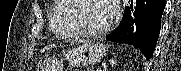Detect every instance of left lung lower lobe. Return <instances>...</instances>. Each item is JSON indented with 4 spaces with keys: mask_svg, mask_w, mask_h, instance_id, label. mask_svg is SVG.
Here are the masks:
<instances>
[{
    "mask_svg": "<svg viewBox=\"0 0 181 71\" xmlns=\"http://www.w3.org/2000/svg\"><path fill=\"white\" fill-rule=\"evenodd\" d=\"M133 4L130 0V7H125L120 26L106 39L133 45L149 60L159 37L166 0H136Z\"/></svg>",
    "mask_w": 181,
    "mask_h": 71,
    "instance_id": "0a47b994",
    "label": "left lung lower lobe"
}]
</instances>
